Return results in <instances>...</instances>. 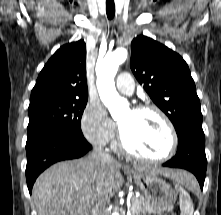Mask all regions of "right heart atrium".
Wrapping results in <instances>:
<instances>
[{"label": "right heart atrium", "mask_w": 221, "mask_h": 215, "mask_svg": "<svg viewBox=\"0 0 221 215\" xmlns=\"http://www.w3.org/2000/svg\"><path fill=\"white\" fill-rule=\"evenodd\" d=\"M81 130L84 137L97 146L112 143L117 135L115 123L108 116L102 104L96 101L87 103L81 117Z\"/></svg>", "instance_id": "d8ad5b80"}]
</instances>
